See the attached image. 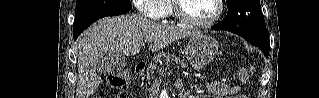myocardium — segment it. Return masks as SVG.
Wrapping results in <instances>:
<instances>
[{"instance_id":"myocardium-1","label":"myocardium","mask_w":319,"mask_h":98,"mask_svg":"<svg viewBox=\"0 0 319 98\" xmlns=\"http://www.w3.org/2000/svg\"><path fill=\"white\" fill-rule=\"evenodd\" d=\"M183 1V0H182ZM217 9L215 14L209 18L208 20L204 21H198V20H193L188 17H186L182 10H181V1L180 0H173V11L174 15L177 18L178 21H180L182 24L187 25L189 27L193 28H207L212 25H214L222 16L223 11H224V1L223 0H215Z\"/></svg>"}]
</instances>
